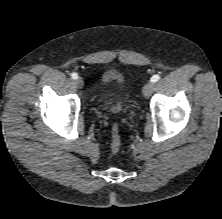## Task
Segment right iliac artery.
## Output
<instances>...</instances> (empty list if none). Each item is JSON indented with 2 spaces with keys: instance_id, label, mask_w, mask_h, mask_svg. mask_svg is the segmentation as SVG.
Masks as SVG:
<instances>
[{
  "instance_id": "82829eb1",
  "label": "right iliac artery",
  "mask_w": 222,
  "mask_h": 219,
  "mask_svg": "<svg viewBox=\"0 0 222 219\" xmlns=\"http://www.w3.org/2000/svg\"><path fill=\"white\" fill-rule=\"evenodd\" d=\"M71 78H72V79H77V78H78L77 73H72V74H71Z\"/></svg>"
}]
</instances>
